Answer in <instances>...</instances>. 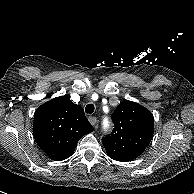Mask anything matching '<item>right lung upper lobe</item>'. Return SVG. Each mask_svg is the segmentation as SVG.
<instances>
[{"instance_id":"cb5924a9","label":"right lung upper lobe","mask_w":194,"mask_h":194,"mask_svg":"<svg viewBox=\"0 0 194 194\" xmlns=\"http://www.w3.org/2000/svg\"><path fill=\"white\" fill-rule=\"evenodd\" d=\"M92 131L83 108L66 95L44 103L34 114L35 141L54 161L69 158L79 139Z\"/></svg>"}]
</instances>
